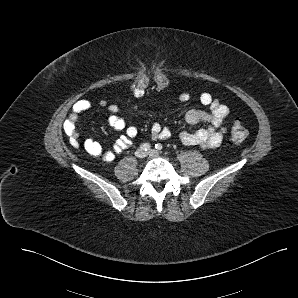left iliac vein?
I'll list each match as a JSON object with an SVG mask.
<instances>
[{"mask_svg":"<svg viewBox=\"0 0 298 298\" xmlns=\"http://www.w3.org/2000/svg\"><path fill=\"white\" fill-rule=\"evenodd\" d=\"M146 154L149 155V156H152V157H158L159 156V153L156 150H150Z\"/></svg>","mask_w":298,"mask_h":298,"instance_id":"4c4485c4","label":"left iliac vein"}]
</instances>
